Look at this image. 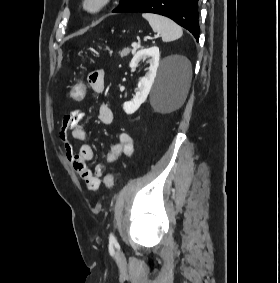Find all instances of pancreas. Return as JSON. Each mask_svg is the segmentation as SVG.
<instances>
[{"instance_id":"obj_1","label":"pancreas","mask_w":280,"mask_h":283,"mask_svg":"<svg viewBox=\"0 0 280 283\" xmlns=\"http://www.w3.org/2000/svg\"><path fill=\"white\" fill-rule=\"evenodd\" d=\"M130 51H131L130 48H124L122 51L119 52V54L123 58L128 56L130 54Z\"/></svg>"}]
</instances>
